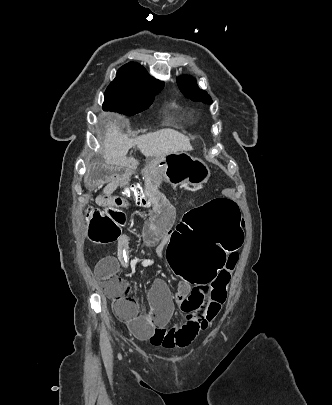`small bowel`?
Returning <instances> with one entry per match:
<instances>
[{
    "label": "small bowel",
    "mask_w": 332,
    "mask_h": 405,
    "mask_svg": "<svg viewBox=\"0 0 332 405\" xmlns=\"http://www.w3.org/2000/svg\"><path fill=\"white\" fill-rule=\"evenodd\" d=\"M160 159H149L144 166V176L147 177L150 189L146 197L154 204V211L150 212V220L143 230V239L148 247L164 246L170 240L172 223L175 220L176 210L170 204V196L164 195L157 183H162L163 176L160 169ZM129 168H113L112 162H92L88 172L83 173V186H106L104 193L96 198L97 206H108L115 211H131L136 209L130 197H123L114 190L127 184ZM112 177L117 179L113 180ZM110 192H113L112 194ZM114 202V204H113ZM187 220V219H186ZM241 227V225H240ZM128 234L120 236L117 242V255L106 256L98 261L95 274L101 281L109 274L115 273L123 263L124 253L129 246ZM238 258V254H233ZM230 257H226L229 259ZM135 265L145 266L149 260L136 259ZM189 281H182L174 295L171 294L167 284L161 280L153 281L148 294L149 311H141V315L126 320L132 334L139 340L148 341L154 346L164 348L187 346L202 329L200 321L206 304V296L211 286L191 287ZM175 306L183 313V321L172 328L168 322L175 312Z\"/></svg>",
    "instance_id": "1"
}]
</instances>
